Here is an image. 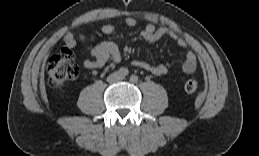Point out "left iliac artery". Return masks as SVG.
<instances>
[{"label":"left iliac artery","mask_w":259,"mask_h":156,"mask_svg":"<svg viewBox=\"0 0 259 156\" xmlns=\"http://www.w3.org/2000/svg\"><path fill=\"white\" fill-rule=\"evenodd\" d=\"M130 80L134 83L138 82V76L137 75H131Z\"/></svg>","instance_id":"44dca946"}]
</instances>
